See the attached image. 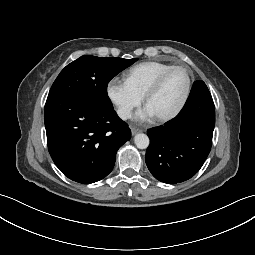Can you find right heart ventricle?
<instances>
[{
    "instance_id": "obj_1",
    "label": "right heart ventricle",
    "mask_w": 255,
    "mask_h": 255,
    "mask_svg": "<svg viewBox=\"0 0 255 255\" xmlns=\"http://www.w3.org/2000/svg\"><path fill=\"white\" fill-rule=\"evenodd\" d=\"M172 66V64L157 61L140 63L128 71L126 81L136 92L144 96L156 79Z\"/></svg>"
}]
</instances>
